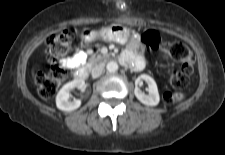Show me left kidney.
Masks as SVG:
<instances>
[{"label":"left kidney","mask_w":225,"mask_h":155,"mask_svg":"<svg viewBox=\"0 0 225 155\" xmlns=\"http://www.w3.org/2000/svg\"><path fill=\"white\" fill-rule=\"evenodd\" d=\"M142 81L148 84V94H145L137 87ZM135 84L134 94L141 103L148 106H156L159 104L160 96L157 84L152 77L147 74H142L136 79Z\"/></svg>","instance_id":"5707ae66"}]
</instances>
